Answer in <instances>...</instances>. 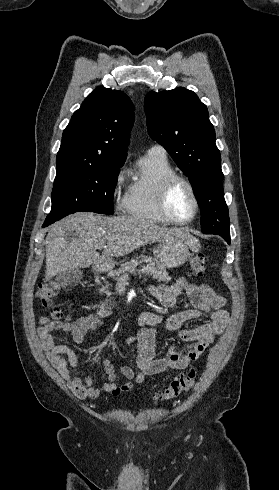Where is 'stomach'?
<instances>
[{
  "label": "stomach",
  "instance_id": "obj_1",
  "mask_svg": "<svg viewBox=\"0 0 279 490\" xmlns=\"http://www.w3.org/2000/svg\"><path fill=\"white\" fill-rule=\"evenodd\" d=\"M189 244L184 238H171L159 244V248L154 250L156 260L162 262L165 268H180L185 262H188L192 254L189 252ZM106 266H113L112 258L108 260Z\"/></svg>",
  "mask_w": 279,
  "mask_h": 490
}]
</instances>
